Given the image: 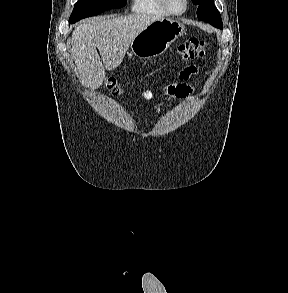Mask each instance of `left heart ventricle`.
<instances>
[{
  "label": "left heart ventricle",
  "instance_id": "left-heart-ventricle-1",
  "mask_svg": "<svg viewBox=\"0 0 288 293\" xmlns=\"http://www.w3.org/2000/svg\"><path fill=\"white\" fill-rule=\"evenodd\" d=\"M172 10L180 12L184 8V0H167Z\"/></svg>",
  "mask_w": 288,
  "mask_h": 293
}]
</instances>
